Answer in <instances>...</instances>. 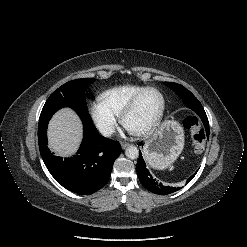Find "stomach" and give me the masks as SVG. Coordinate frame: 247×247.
Here are the masks:
<instances>
[{"label":"stomach","instance_id":"0dacf381","mask_svg":"<svg viewBox=\"0 0 247 247\" xmlns=\"http://www.w3.org/2000/svg\"><path fill=\"white\" fill-rule=\"evenodd\" d=\"M184 148V130L172 120L163 123L145 142L143 153L148 164L156 169L170 167Z\"/></svg>","mask_w":247,"mask_h":247}]
</instances>
